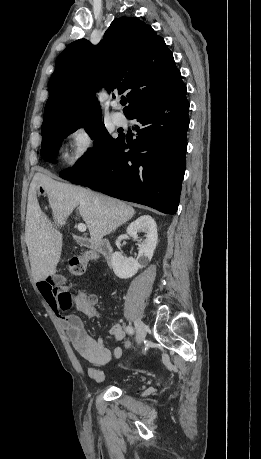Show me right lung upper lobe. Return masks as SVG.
<instances>
[{"label": "right lung upper lobe", "mask_w": 261, "mask_h": 459, "mask_svg": "<svg viewBox=\"0 0 261 459\" xmlns=\"http://www.w3.org/2000/svg\"><path fill=\"white\" fill-rule=\"evenodd\" d=\"M180 71L162 37L137 18L115 19L97 46L87 40L69 44L58 56L49 81L42 131L66 123L101 119L95 93L99 85L128 91V117L182 84Z\"/></svg>", "instance_id": "right-lung-upper-lobe-1"}]
</instances>
